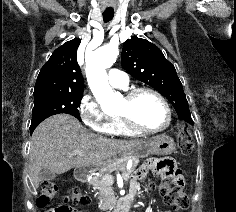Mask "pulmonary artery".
Masks as SVG:
<instances>
[{
    "mask_svg": "<svg viewBox=\"0 0 236 212\" xmlns=\"http://www.w3.org/2000/svg\"><path fill=\"white\" fill-rule=\"evenodd\" d=\"M108 80L111 86L117 88H125L129 84V78L127 74L115 68L109 70Z\"/></svg>",
    "mask_w": 236,
    "mask_h": 212,
    "instance_id": "1",
    "label": "pulmonary artery"
}]
</instances>
